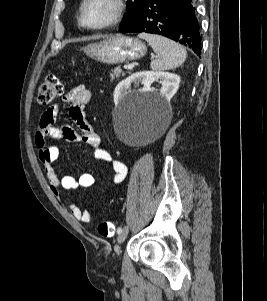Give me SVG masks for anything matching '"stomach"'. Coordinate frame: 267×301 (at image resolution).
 <instances>
[{
    "label": "stomach",
    "instance_id": "1",
    "mask_svg": "<svg viewBox=\"0 0 267 301\" xmlns=\"http://www.w3.org/2000/svg\"><path fill=\"white\" fill-rule=\"evenodd\" d=\"M146 50L142 41L124 35H116L83 48L88 57L105 64H119L140 59L144 57Z\"/></svg>",
    "mask_w": 267,
    "mask_h": 301
}]
</instances>
